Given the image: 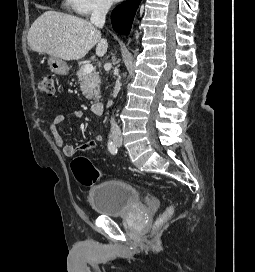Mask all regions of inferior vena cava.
<instances>
[{"label":"inferior vena cava","mask_w":255,"mask_h":272,"mask_svg":"<svg viewBox=\"0 0 255 272\" xmlns=\"http://www.w3.org/2000/svg\"><path fill=\"white\" fill-rule=\"evenodd\" d=\"M111 7L110 0H99L93 9L90 21L95 26L102 28L105 23V17ZM111 132L112 134H120V127L116 124L114 120L111 121Z\"/></svg>","instance_id":"inferior-vena-cava-1"}]
</instances>
